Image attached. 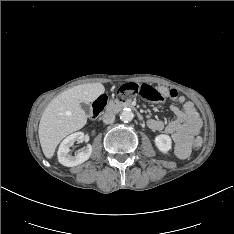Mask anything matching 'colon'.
Instances as JSON below:
<instances>
[{
    "mask_svg": "<svg viewBox=\"0 0 234 234\" xmlns=\"http://www.w3.org/2000/svg\"><path fill=\"white\" fill-rule=\"evenodd\" d=\"M133 96H141L142 98L148 101H157L161 97V93L156 90L155 88L143 84L139 85L136 83H127L120 87L118 91V98L120 100H126ZM106 97L100 96L94 103H93V115L97 116L106 104ZM202 144L201 138H196L195 143L192 144L193 150H198L199 145Z\"/></svg>",
    "mask_w": 234,
    "mask_h": 234,
    "instance_id": "obj_1",
    "label": "colon"
}]
</instances>
